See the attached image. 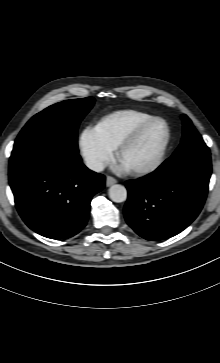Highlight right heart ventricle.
<instances>
[{"label":"right heart ventricle","mask_w":220,"mask_h":363,"mask_svg":"<svg viewBox=\"0 0 220 363\" xmlns=\"http://www.w3.org/2000/svg\"><path fill=\"white\" fill-rule=\"evenodd\" d=\"M154 116L138 110H119L102 117L95 125L99 136L113 149L135 127Z\"/></svg>","instance_id":"right-heart-ventricle-1"}]
</instances>
